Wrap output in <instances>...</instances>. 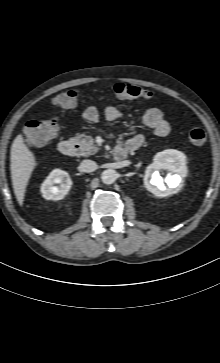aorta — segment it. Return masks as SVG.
<instances>
[{
	"label": "aorta",
	"instance_id": "1",
	"mask_svg": "<svg viewBox=\"0 0 220 363\" xmlns=\"http://www.w3.org/2000/svg\"><path fill=\"white\" fill-rule=\"evenodd\" d=\"M101 179L104 184H113L117 179V173L112 169L104 170L101 174Z\"/></svg>",
	"mask_w": 220,
	"mask_h": 363
}]
</instances>
